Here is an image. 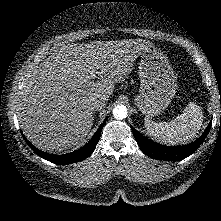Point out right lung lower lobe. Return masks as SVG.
Wrapping results in <instances>:
<instances>
[{
  "mask_svg": "<svg viewBox=\"0 0 221 221\" xmlns=\"http://www.w3.org/2000/svg\"><path fill=\"white\" fill-rule=\"evenodd\" d=\"M106 120H104V122L100 125V127L97 129L96 133L94 134V136L91 138V140L82 148L71 152V153H67V154H63V155H53V154H49L46 152H43L39 149H37L36 147H34L22 134V136L24 137V140L26 141V143L29 145V147L40 157H42L45 160H48L52 163L55 164H59V165H64V164H71L74 162H78V161H82L84 159H86L87 157H89L93 151L96 148L97 142L100 138L101 135V131L103 126L106 123Z\"/></svg>",
  "mask_w": 221,
  "mask_h": 221,
  "instance_id": "obj_1",
  "label": "right lung lower lobe"
}]
</instances>
